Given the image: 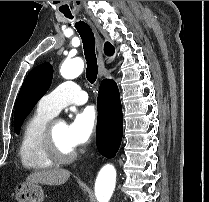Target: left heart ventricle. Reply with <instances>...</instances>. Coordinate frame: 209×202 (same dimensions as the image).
Here are the masks:
<instances>
[{
	"label": "left heart ventricle",
	"mask_w": 209,
	"mask_h": 202,
	"mask_svg": "<svg viewBox=\"0 0 209 202\" xmlns=\"http://www.w3.org/2000/svg\"><path fill=\"white\" fill-rule=\"evenodd\" d=\"M67 124L63 121H56L55 123V137L58 145L64 151H70L74 148L67 140Z\"/></svg>",
	"instance_id": "1"
}]
</instances>
